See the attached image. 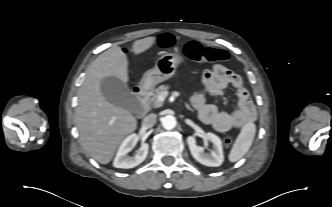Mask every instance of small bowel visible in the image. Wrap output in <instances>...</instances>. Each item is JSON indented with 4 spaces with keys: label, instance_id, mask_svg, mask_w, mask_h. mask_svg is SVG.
<instances>
[{
    "label": "small bowel",
    "instance_id": "small-bowel-1",
    "mask_svg": "<svg viewBox=\"0 0 332 207\" xmlns=\"http://www.w3.org/2000/svg\"><path fill=\"white\" fill-rule=\"evenodd\" d=\"M201 80L205 91L193 95L191 104L203 123L223 133L256 118L255 106L239 75L217 65L211 70H203ZM227 87H232L238 97L239 108L233 112L221 111L218 106L206 101V94L220 96Z\"/></svg>",
    "mask_w": 332,
    "mask_h": 207
}]
</instances>
